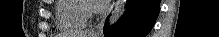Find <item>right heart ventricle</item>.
Listing matches in <instances>:
<instances>
[{"mask_svg":"<svg viewBox=\"0 0 219 37\" xmlns=\"http://www.w3.org/2000/svg\"><path fill=\"white\" fill-rule=\"evenodd\" d=\"M85 0H58L56 23L61 30L82 29L87 24Z\"/></svg>","mask_w":219,"mask_h":37,"instance_id":"obj_1","label":"right heart ventricle"}]
</instances>
